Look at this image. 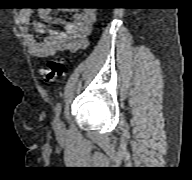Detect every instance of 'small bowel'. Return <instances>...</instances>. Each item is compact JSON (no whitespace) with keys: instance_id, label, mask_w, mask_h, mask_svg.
I'll list each match as a JSON object with an SVG mask.
<instances>
[{"instance_id":"small-bowel-1","label":"small bowel","mask_w":192,"mask_h":180,"mask_svg":"<svg viewBox=\"0 0 192 180\" xmlns=\"http://www.w3.org/2000/svg\"><path fill=\"white\" fill-rule=\"evenodd\" d=\"M40 22H33L31 11L23 9L18 20L29 52L36 57L46 58L64 51L75 52L88 46L96 15L93 10L76 12L69 22L54 18L47 8L39 10ZM47 24L64 25V30L49 28ZM33 28L35 33L31 32ZM46 33L43 38L37 34Z\"/></svg>"}]
</instances>
